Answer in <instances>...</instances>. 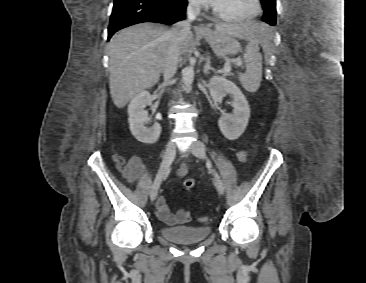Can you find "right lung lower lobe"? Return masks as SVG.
<instances>
[{"mask_svg":"<svg viewBox=\"0 0 366 283\" xmlns=\"http://www.w3.org/2000/svg\"><path fill=\"white\" fill-rule=\"evenodd\" d=\"M186 0H114L108 39L118 30L142 22L171 25L185 19Z\"/></svg>","mask_w":366,"mask_h":283,"instance_id":"obj_1","label":"right lung lower lobe"}]
</instances>
